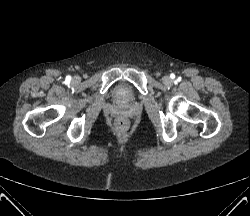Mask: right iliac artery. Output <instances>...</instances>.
I'll return each mask as SVG.
<instances>
[{"label":"right iliac artery","mask_w":250,"mask_h":216,"mask_svg":"<svg viewBox=\"0 0 250 216\" xmlns=\"http://www.w3.org/2000/svg\"><path fill=\"white\" fill-rule=\"evenodd\" d=\"M66 80L69 82L71 80V77L70 76H67L66 77Z\"/></svg>","instance_id":"1"}]
</instances>
